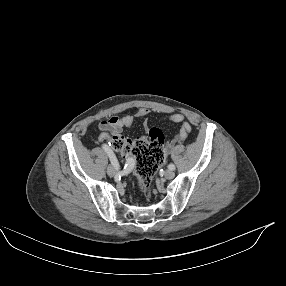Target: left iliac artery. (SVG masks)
I'll list each match as a JSON object with an SVG mask.
<instances>
[{
	"label": "left iliac artery",
	"mask_w": 286,
	"mask_h": 286,
	"mask_svg": "<svg viewBox=\"0 0 286 286\" xmlns=\"http://www.w3.org/2000/svg\"><path fill=\"white\" fill-rule=\"evenodd\" d=\"M168 168H169L170 170H175V165H174V164H169V165H168Z\"/></svg>",
	"instance_id": "44dca946"
}]
</instances>
